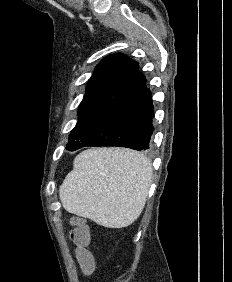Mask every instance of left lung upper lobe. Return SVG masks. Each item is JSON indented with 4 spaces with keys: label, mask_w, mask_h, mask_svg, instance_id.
Masks as SVG:
<instances>
[{
    "label": "left lung upper lobe",
    "mask_w": 232,
    "mask_h": 282,
    "mask_svg": "<svg viewBox=\"0 0 232 282\" xmlns=\"http://www.w3.org/2000/svg\"><path fill=\"white\" fill-rule=\"evenodd\" d=\"M137 66V62L121 53L106 56L96 66L79 106V120L69 136L67 147L79 145L90 138L100 113Z\"/></svg>",
    "instance_id": "left-lung-upper-lobe-1"
}]
</instances>
